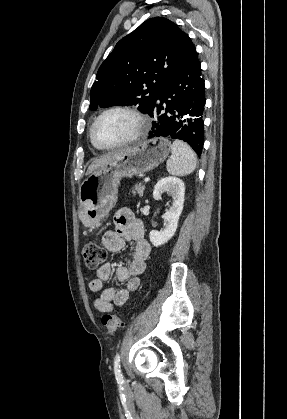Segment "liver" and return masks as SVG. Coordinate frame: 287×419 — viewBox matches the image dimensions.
Here are the masks:
<instances>
[{
    "instance_id": "1",
    "label": "liver",
    "mask_w": 287,
    "mask_h": 419,
    "mask_svg": "<svg viewBox=\"0 0 287 419\" xmlns=\"http://www.w3.org/2000/svg\"><path fill=\"white\" fill-rule=\"evenodd\" d=\"M126 150L127 149L116 151V152L109 153V154H106L104 156H101L100 158L94 159V161L89 165V167L87 169V174H91L94 170H96L100 166L106 164L107 162L117 158L118 156H120Z\"/></svg>"
}]
</instances>
